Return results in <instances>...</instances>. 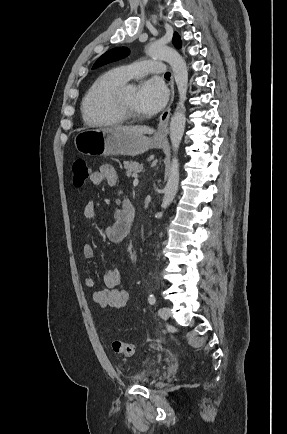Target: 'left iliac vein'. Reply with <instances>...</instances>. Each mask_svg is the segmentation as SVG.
I'll return each mask as SVG.
<instances>
[{
    "label": "left iliac vein",
    "mask_w": 287,
    "mask_h": 434,
    "mask_svg": "<svg viewBox=\"0 0 287 434\" xmlns=\"http://www.w3.org/2000/svg\"><path fill=\"white\" fill-rule=\"evenodd\" d=\"M158 315L160 316L161 319H163L164 321H166L169 318L170 315V310L168 307H161L158 311Z\"/></svg>",
    "instance_id": "1"
}]
</instances>
